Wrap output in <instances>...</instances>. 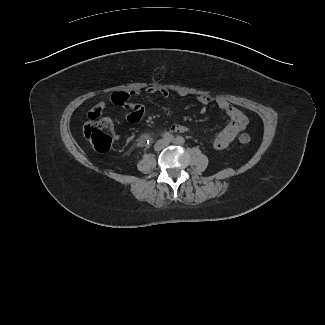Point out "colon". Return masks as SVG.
<instances>
[{"label":"colon","mask_w":325,"mask_h":325,"mask_svg":"<svg viewBox=\"0 0 325 325\" xmlns=\"http://www.w3.org/2000/svg\"><path fill=\"white\" fill-rule=\"evenodd\" d=\"M84 136L92 147L98 152H106L109 150L112 143L114 133V124L108 118L89 117L84 129ZM251 141L248 134H241L239 142L247 144Z\"/></svg>","instance_id":"obj_1"}]
</instances>
